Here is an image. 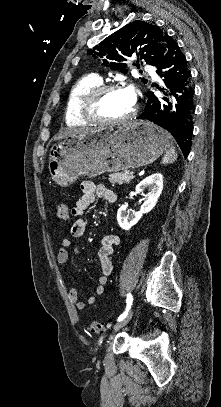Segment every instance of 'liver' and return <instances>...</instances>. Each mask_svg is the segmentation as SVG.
<instances>
[{
  "mask_svg": "<svg viewBox=\"0 0 221 407\" xmlns=\"http://www.w3.org/2000/svg\"><path fill=\"white\" fill-rule=\"evenodd\" d=\"M93 131V129H89V128H79V129H65L60 131L57 135L54 136V141L56 140H60L62 138H64L67 135H71V134H75V133H86V132H90Z\"/></svg>",
  "mask_w": 221,
  "mask_h": 407,
  "instance_id": "1",
  "label": "liver"
}]
</instances>
